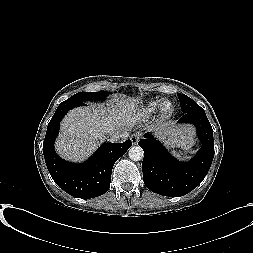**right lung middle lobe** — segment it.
<instances>
[{
  "instance_id": "obj_1",
  "label": "right lung middle lobe",
  "mask_w": 253,
  "mask_h": 253,
  "mask_svg": "<svg viewBox=\"0 0 253 253\" xmlns=\"http://www.w3.org/2000/svg\"><path fill=\"white\" fill-rule=\"evenodd\" d=\"M108 94L109 92H105V91L104 92H79L64 102L77 103V102L90 101L93 99L104 100Z\"/></svg>"
}]
</instances>
